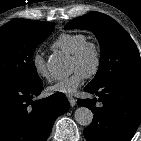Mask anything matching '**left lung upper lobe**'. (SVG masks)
<instances>
[{"label": "left lung upper lobe", "mask_w": 141, "mask_h": 141, "mask_svg": "<svg viewBox=\"0 0 141 141\" xmlns=\"http://www.w3.org/2000/svg\"><path fill=\"white\" fill-rule=\"evenodd\" d=\"M66 29H88L99 40L101 58L98 72L88 84L100 86L119 79L141 80V58L137 46L111 17L92 12L70 21Z\"/></svg>", "instance_id": "left-lung-upper-lobe-1"}]
</instances>
